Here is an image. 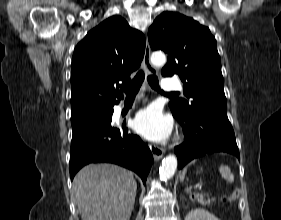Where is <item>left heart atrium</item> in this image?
<instances>
[{
  "label": "left heart atrium",
  "instance_id": "left-heart-atrium-1",
  "mask_svg": "<svg viewBox=\"0 0 281 220\" xmlns=\"http://www.w3.org/2000/svg\"><path fill=\"white\" fill-rule=\"evenodd\" d=\"M133 127L144 138L161 142L170 136L172 120L157 105H150L136 114Z\"/></svg>",
  "mask_w": 281,
  "mask_h": 220
}]
</instances>
